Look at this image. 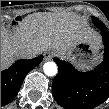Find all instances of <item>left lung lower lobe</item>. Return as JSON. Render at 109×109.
I'll return each instance as SVG.
<instances>
[{
    "label": "left lung lower lobe",
    "instance_id": "1",
    "mask_svg": "<svg viewBox=\"0 0 109 109\" xmlns=\"http://www.w3.org/2000/svg\"><path fill=\"white\" fill-rule=\"evenodd\" d=\"M104 60L94 70L80 72L69 62L54 58L59 72L52 83L56 102L65 109H93L109 98V31L99 28Z\"/></svg>",
    "mask_w": 109,
    "mask_h": 109
}]
</instances>
